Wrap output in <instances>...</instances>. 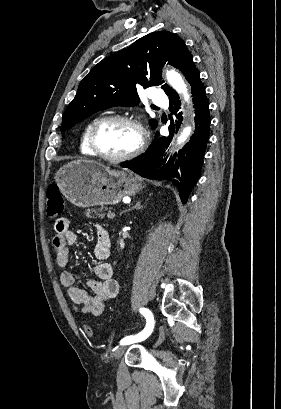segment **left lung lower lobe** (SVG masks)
Listing matches in <instances>:
<instances>
[{"instance_id": "0a47b994", "label": "left lung lower lobe", "mask_w": 281, "mask_h": 409, "mask_svg": "<svg viewBox=\"0 0 281 409\" xmlns=\"http://www.w3.org/2000/svg\"><path fill=\"white\" fill-rule=\"evenodd\" d=\"M189 83L196 114V127L190 141L179 151L178 155H174L169 160L162 159L164 149L168 147L175 130L177 131L180 126L179 122L182 121V112H179L181 105L179 96L174 94L169 97V110L175 115L174 120L171 118L169 137H156L154 143L144 154L121 165L149 179L173 182L178 187L183 204L187 202L191 189L198 180L210 132L209 103L198 69L192 73Z\"/></svg>"}]
</instances>
